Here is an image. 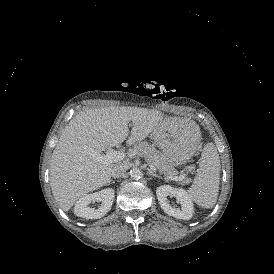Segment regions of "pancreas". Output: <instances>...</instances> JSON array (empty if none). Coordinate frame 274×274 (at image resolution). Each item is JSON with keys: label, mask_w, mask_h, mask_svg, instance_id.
<instances>
[{"label": "pancreas", "mask_w": 274, "mask_h": 274, "mask_svg": "<svg viewBox=\"0 0 274 274\" xmlns=\"http://www.w3.org/2000/svg\"><path fill=\"white\" fill-rule=\"evenodd\" d=\"M131 154L144 157L145 161L152 164L160 173L165 176H175L178 171L174 168V163L167 156L160 154L153 145L147 142H140L134 145ZM190 179L186 178L182 183H189Z\"/></svg>", "instance_id": "obj_1"}]
</instances>
